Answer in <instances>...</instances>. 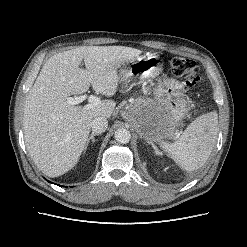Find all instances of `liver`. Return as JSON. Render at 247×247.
<instances>
[{"label": "liver", "instance_id": "obj_1", "mask_svg": "<svg viewBox=\"0 0 247 247\" xmlns=\"http://www.w3.org/2000/svg\"><path fill=\"white\" fill-rule=\"evenodd\" d=\"M139 54L125 46H81L46 61L27 95L23 117L27 150L45 175L71 170L85 149L92 120L110 118L116 106L102 100L81 107L67 104V98L87 92L90 85L97 94L112 97L120 83L117 69ZM83 60L85 69L80 68Z\"/></svg>", "mask_w": 247, "mask_h": 247}]
</instances>
